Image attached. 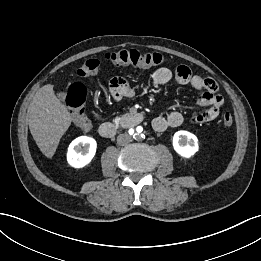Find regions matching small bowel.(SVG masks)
<instances>
[{
    "mask_svg": "<svg viewBox=\"0 0 261 261\" xmlns=\"http://www.w3.org/2000/svg\"><path fill=\"white\" fill-rule=\"evenodd\" d=\"M152 80L157 85H164L174 80L178 85H189L195 90L203 91L198 98V104L206 109L194 114L191 117L192 122H209L218 117L219 109L223 104V98L218 94V86L214 80L193 75L185 65L178 66L174 74L166 67L159 68L153 73ZM110 92L115 100L130 97L133 94L127 82L119 77L111 80ZM183 121L182 114L173 111L166 116L156 117L152 122V126L156 131L163 132L168 128L180 126Z\"/></svg>",
    "mask_w": 261,
    "mask_h": 261,
    "instance_id": "obj_1",
    "label": "small bowel"
}]
</instances>
